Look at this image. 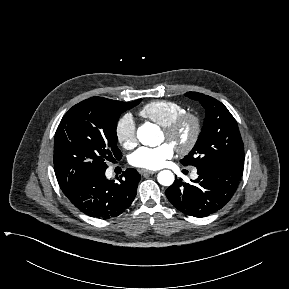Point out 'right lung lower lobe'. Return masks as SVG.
I'll list each match as a JSON object with an SVG mask.
<instances>
[{
	"instance_id": "obj_1",
	"label": "right lung lower lobe",
	"mask_w": 289,
	"mask_h": 289,
	"mask_svg": "<svg viewBox=\"0 0 289 289\" xmlns=\"http://www.w3.org/2000/svg\"><path fill=\"white\" fill-rule=\"evenodd\" d=\"M140 179L139 173L131 168L122 173L118 183L107 179L102 172L63 190V193L84 214L108 219L120 215L131 205Z\"/></svg>"
}]
</instances>
